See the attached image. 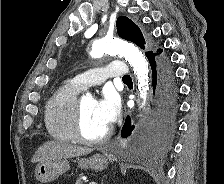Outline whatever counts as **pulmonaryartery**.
I'll list each match as a JSON object with an SVG mask.
<instances>
[{
    "label": "pulmonary artery",
    "mask_w": 224,
    "mask_h": 184,
    "mask_svg": "<svg viewBox=\"0 0 224 184\" xmlns=\"http://www.w3.org/2000/svg\"><path fill=\"white\" fill-rule=\"evenodd\" d=\"M129 69L122 61H112L108 65L79 73L72 83L80 90L102 84L106 79L129 76Z\"/></svg>",
    "instance_id": "obj_1"
}]
</instances>
